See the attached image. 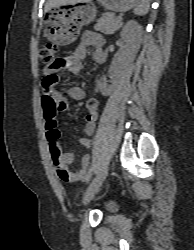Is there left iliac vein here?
<instances>
[{
    "label": "left iliac vein",
    "instance_id": "left-iliac-vein-1",
    "mask_svg": "<svg viewBox=\"0 0 194 250\" xmlns=\"http://www.w3.org/2000/svg\"><path fill=\"white\" fill-rule=\"evenodd\" d=\"M109 171V166L105 165L95 176L84 195V203L89 202L94 194L99 190Z\"/></svg>",
    "mask_w": 194,
    "mask_h": 250
}]
</instances>
